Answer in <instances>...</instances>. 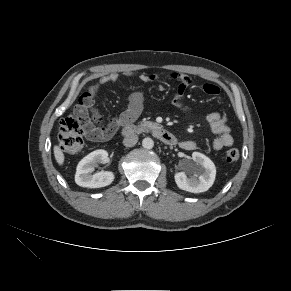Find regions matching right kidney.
<instances>
[{"instance_id": "obj_1", "label": "right kidney", "mask_w": 291, "mask_h": 291, "mask_svg": "<svg viewBox=\"0 0 291 291\" xmlns=\"http://www.w3.org/2000/svg\"><path fill=\"white\" fill-rule=\"evenodd\" d=\"M108 153L105 150H95L85 156L77 165L75 182L77 185L88 188H101L110 185L114 181V173L101 171L92 174L97 163L107 162Z\"/></svg>"}]
</instances>
